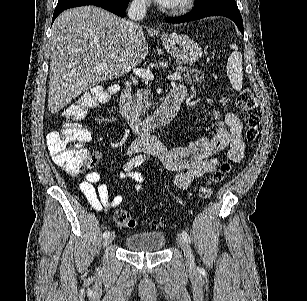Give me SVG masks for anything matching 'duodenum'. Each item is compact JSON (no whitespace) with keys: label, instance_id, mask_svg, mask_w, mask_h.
I'll list each match as a JSON object with an SVG mask.
<instances>
[{"label":"duodenum","instance_id":"1","mask_svg":"<svg viewBox=\"0 0 307 301\" xmlns=\"http://www.w3.org/2000/svg\"><path fill=\"white\" fill-rule=\"evenodd\" d=\"M183 98V93L173 90L151 115L142 117L133 107L132 86L130 82H127L120 94V112L134 132L145 134L172 120Z\"/></svg>","mask_w":307,"mask_h":301}]
</instances>
